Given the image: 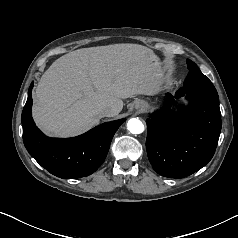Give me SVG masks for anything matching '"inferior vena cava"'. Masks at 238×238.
Returning a JSON list of instances; mask_svg holds the SVG:
<instances>
[{
	"label": "inferior vena cava",
	"instance_id": "obj_1",
	"mask_svg": "<svg viewBox=\"0 0 238 238\" xmlns=\"http://www.w3.org/2000/svg\"><path fill=\"white\" fill-rule=\"evenodd\" d=\"M99 114L101 117H111L114 114V110L109 107H103L99 109Z\"/></svg>",
	"mask_w": 238,
	"mask_h": 238
}]
</instances>
